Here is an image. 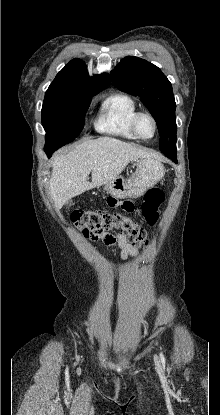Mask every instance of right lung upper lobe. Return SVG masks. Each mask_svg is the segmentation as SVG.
I'll return each instance as SVG.
<instances>
[{"label":"right lung upper lobe","mask_w":220,"mask_h":415,"mask_svg":"<svg viewBox=\"0 0 220 415\" xmlns=\"http://www.w3.org/2000/svg\"><path fill=\"white\" fill-rule=\"evenodd\" d=\"M110 82L108 73L89 77L85 63L80 59H73L57 74L48 90L93 93L102 91Z\"/></svg>","instance_id":"right-lung-upper-lobe-1"}]
</instances>
